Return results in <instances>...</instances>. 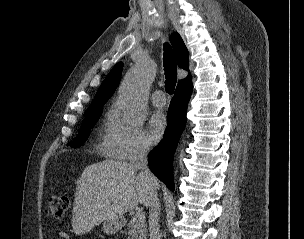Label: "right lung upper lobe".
<instances>
[{
	"mask_svg": "<svg viewBox=\"0 0 304 239\" xmlns=\"http://www.w3.org/2000/svg\"><path fill=\"white\" fill-rule=\"evenodd\" d=\"M170 42L174 48L175 56L179 67L188 70V50L185 47L181 36L178 33H173L170 37ZM122 67L123 63L119 62L112 68V70L109 72V74L99 87L89 108L101 107L109 100V98L113 95L115 89L117 88L120 82ZM190 77L191 76L189 74L185 79H188ZM185 79L179 80L178 83H181Z\"/></svg>",
	"mask_w": 304,
	"mask_h": 239,
	"instance_id": "1",
	"label": "right lung upper lobe"
}]
</instances>
